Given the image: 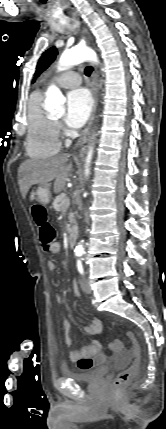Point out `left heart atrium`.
Segmentation results:
<instances>
[{"label":"left heart atrium","instance_id":"obj_1","mask_svg":"<svg viewBox=\"0 0 166 429\" xmlns=\"http://www.w3.org/2000/svg\"><path fill=\"white\" fill-rule=\"evenodd\" d=\"M92 109V97L86 88H76L67 94L65 123L70 128L81 127Z\"/></svg>","mask_w":166,"mask_h":429}]
</instances>
